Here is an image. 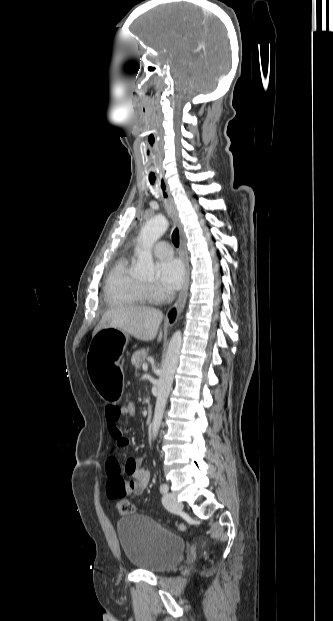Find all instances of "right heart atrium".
<instances>
[{"instance_id":"obj_1","label":"right heart atrium","mask_w":333,"mask_h":621,"mask_svg":"<svg viewBox=\"0 0 333 621\" xmlns=\"http://www.w3.org/2000/svg\"><path fill=\"white\" fill-rule=\"evenodd\" d=\"M149 297L155 301H160L164 297V292L155 285H145Z\"/></svg>"}]
</instances>
